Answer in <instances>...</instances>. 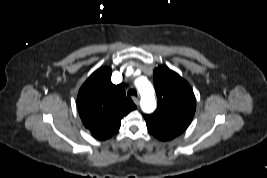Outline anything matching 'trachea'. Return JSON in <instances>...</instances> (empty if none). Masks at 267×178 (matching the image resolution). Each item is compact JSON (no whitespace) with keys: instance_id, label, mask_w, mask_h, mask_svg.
Instances as JSON below:
<instances>
[{"instance_id":"3493384b","label":"trachea","mask_w":267,"mask_h":178,"mask_svg":"<svg viewBox=\"0 0 267 178\" xmlns=\"http://www.w3.org/2000/svg\"><path fill=\"white\" fill-rule=\"evenodd\" d=\"M127 95H128V96H132V95L137 96V92H136V90H134V89H130V90L127 92Z\"/></svg>"}]
</instances>
